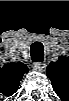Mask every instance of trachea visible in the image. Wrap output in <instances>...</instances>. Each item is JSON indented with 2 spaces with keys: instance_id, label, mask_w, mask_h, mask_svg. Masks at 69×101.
Segmentation results:
<instances>
[{
  "instance_id": "1",
  "label": "trachea",
  "mask_w": 69,
  "mask_h": 101,
  "mask_svg": "<svg viewBox=\"0 0 69 101\" xmlns=\"http://www.w3.org/2000/svg\"><path fill=\"white\" fill-rule=\"evenodd\" d=\"M30 54L32 61L37 63V62H43L44 61V46L41 42H34L31 45L30 48Z\"/></svg>"
}]
</instances>
